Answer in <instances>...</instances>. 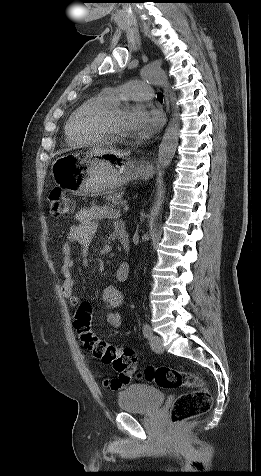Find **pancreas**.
<instances>
[{
  "instance_id": "obj_1",
  "label": "pancreas",
  "mask_w": 261,
  "mask_h": 476,
  "mask_svg": "<svg viewBox=\"0 0 261 476\" xmlns=\"http://www.w3.org/2000/svg\"><path fill=\"white\" fill-rule=\"evenodd\" d=\"M108 202H110L114 207H122L124 205V200L122 199V194L119 193H113L109 194L106 198Z\"/></svg>"
}]
</instances>
